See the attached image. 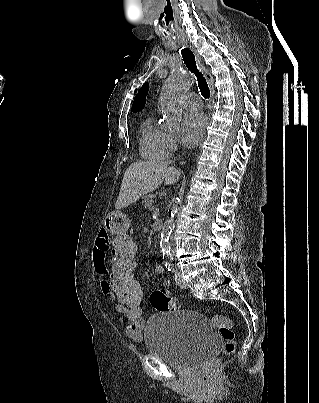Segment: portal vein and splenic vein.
I'll return each mask as SVG.
<instances>
[{
    "label": "portal vein and splenic vein",
    "mask_w": 319,
    "mask_h": 403,
    "mask_svg": "<svg viewBox=\"0 0 319 403\" xmlns=\"http://www.w3.org/2000/svg\"><path fill=\"white\" fill-rule=\"evenodd\" d=\"M154 208H155L154 206H151V207H150L151 210H154Z\"/></svg>",
    "instance_id": "18ae733b"
}]
</instances>
